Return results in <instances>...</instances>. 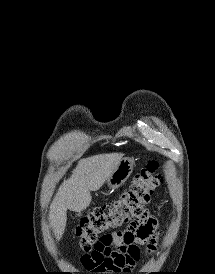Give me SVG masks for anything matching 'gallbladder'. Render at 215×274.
Returning a JSON list of instances; mask_svg holds the SVG:
<instances>
[{
	"mask_svg": "<svg viewBox=\"0 0 215 274\" xmlns=\"http://www.w3.org/2000/svg\"><path fill=\"white\" fill-rule=\"evenodd\" d=\"M76 216L80 217L81 216V212L76 213Z\"/></svg>",
	"mask_w": 215,
	"mask_h": 274,
	"instance_id": "1",
	"label": "gallbladder"
}]
</instances>
